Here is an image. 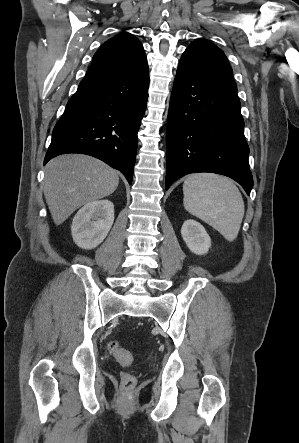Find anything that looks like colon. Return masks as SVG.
Here are the masks:
<instances>
[{"instance_id": "1", "label": "colon", "mask_w": 299, "mask_h": 443, "mask_svg": "<svg viewBox=\"0 0 299 443\" xmlns=\"http://www.w3.org/2000/svg\"><path fill=\"white\" fill-rule=\"evenodd\" d=\"M109 353L122 366H128L133 360V355L129 350L123 349L112 340L107 345ZM136 386V378L130 373H123L121 376V387L125 392L131 391Z\"/></svg>"}]
</instances>
